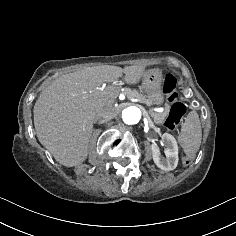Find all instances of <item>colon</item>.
Returning <instances> with one entry per match:
<instances>
[{
	"instance_id": "1",
	"label": "colon",
	"mask_w": 236,
	"mask_h": 236,
	"mask_svg": "<svg viewBox=\"0 0 236 236\" xmlns=\"http://www.w3.org/2000/svg\"><path fill=\"white\" fill-rule=\"evenodd\" d=\"M177 79L173 74H166L163 80V93L171 103L168 117L164 123L166 128L174 129L182 120L186 112L185 105L178 100L176 92Z\"/></svg>"
}]
</instances>
